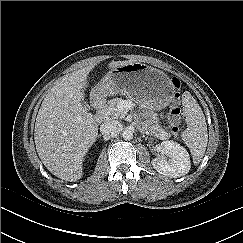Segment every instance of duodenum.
<instances>
[{
  "label": "duodenum",
  "instance_id": "obj_1",
  "mask_svg": "<svg viewBox=\"0 0 243 243\" xmlns=\"http://www.w3.org/2000/svg\"><path fill=\"white\" fill-rule=\"evenodd\" d=\"M107 104V98L98 94L93 98V106L96 110L95 117L98 122H102L105 119V108Z\"/></svg>",
  "mask_w": 243,
  "mask_h": 243
}]
</instances>
